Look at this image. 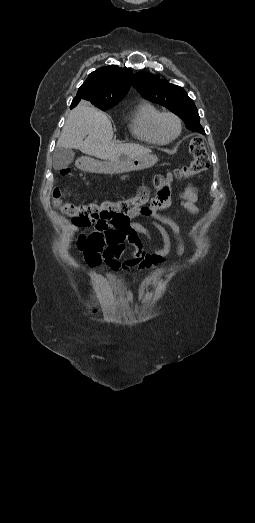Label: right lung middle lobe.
I'll return each mask as SVG.
<instances>
[{
    "mask_svg": "<svg viewBox=\"0 0 255 523\" xmlns=\"http://www.w3.org/2000/svg\"><path fill=\"white\" fill-rule=\"evenodd\" d=\"M118 102H110V103H97L94 104L95 107L101 109L102 111H106L116 105Z\"/></svg>",
    "mask_w": 255,
    "mask_h": 523,
    "instance_id": "dd1d6c3e",
    "label": "right lung middle lobe"
}]
</instances>
